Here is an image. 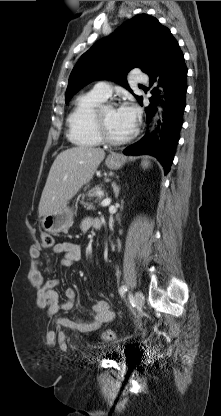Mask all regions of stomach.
<instances>
[{
  "label": "stomach",
  "mask_w": 221,
  "mask_h": 416,
  "mask_svg": "<svg viewBox=\"0 0 221 416\" xmlns=\"http://www.w3.org/2000/svg\"><path fill=\"white\" fill-rule=\"evenodd\" d=\"M109 169L116 170L122 165V158L119 155L109 156L105 161ZM74 213L69 207H63L58 211L46 215L42 219L43 229L51 234L60 232L66 233L73 224Z\"/></svg>",
  "instance_id": "stomach-1"
}]
</instances>
